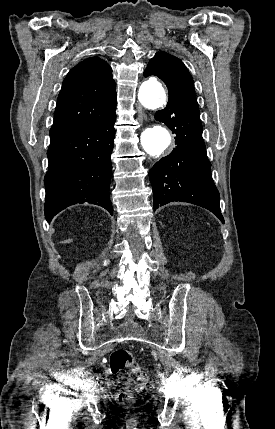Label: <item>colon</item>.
<instances>
[{"mask_svg":"<svg viewBox=\"0 0 275 429\" xmlns=\"http://www.w3.org/2000/svg\"><path fill=\"white\" fill-rule=\"evenodd\" d=\"M111 373L122 384L123 390L117 394L120 404L132 403L135 394L143 390L147 383L145 371L139 366L135 357L126 349L114 350L109 356ZM128 372L131 375H128Z\"/></svg>","mask_w":275,"mask_h":429,"instance_id":"colon-1","label":"colon"}]
</instances>
